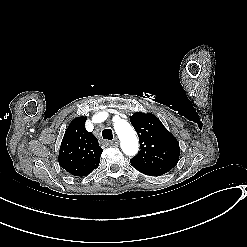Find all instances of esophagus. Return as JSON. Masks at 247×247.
<instances>
[{"label": "esophagus", "mask_w": 247, "mask_h": 247, "mask_svg": "<svg viewBox=\"0 0 247 247\" xmlns=\"http://www.w3.org/2000/svg\"><path fill=\"white\" fill-rule=\"evenodd\" d=\"M111 145L116 147V146H118V145H119V141H118V140H116V141L112 142V143H111Z\"/></svg>", "instance_id": "esophagus-1"}]
</instances>
